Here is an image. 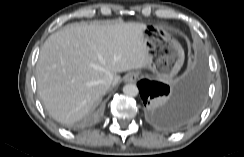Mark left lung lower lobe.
Wrapping results in <instances>:
<instances>
[{"label": "left lung lower lobe", "mask_w": 244, "mask_h": 157, "mask_svg": "<svg viewBox=\"0 0 244 157\" xmlns=\"http://www.w3.org/2000/svg\"><path fill=\"white\" fill-rule=\"evenodd\" d=\"M149 119L157 126L175 131L200 113L206 95L203 63L173 85L143 79L137 83Z\"/></svg>", "instance_id": "0a47b994"}]
</instances>
